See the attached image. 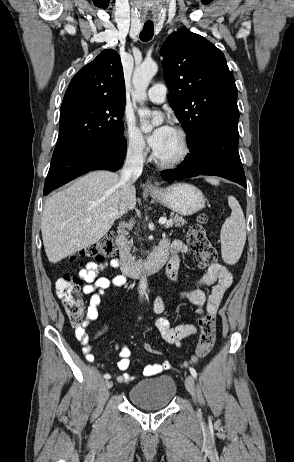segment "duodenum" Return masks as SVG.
Segmentation results:
<instances>
[{
	"instance_id": "duodenum-1",
	"label": "duodenum",
	"mask_w": 294,
	"mask_h": 462,
	"mask_svg": "<svg viewBox=\"0 0 294 462\" xmlns=\"http://www.w3.org/2000/svg\"><path fill=\"white\" fill-rule=\"evenodd\" d=\"M127 235V228L121 227L116 237V245L120 253L119 266L124 275L135 277L142 273L158 271L164 266L168 258V246L166 244L159 245L147 259L135 261L129 256Z\"/></svg>"
}]
</instances>
